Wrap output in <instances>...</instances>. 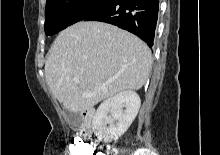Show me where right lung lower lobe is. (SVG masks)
I'll use <instances>...</instances> for the list:
<instances>
[{"label":"right lung lower lobe","instance_id":"obj_1","mask_svg":"<svg viewBox=\"0 0 220 155\" xmlns=\"http://www.w3.org/2000/svg\"><path fill=\"white\" fill-rule=\"evenodd\" d=\"M158 0H114L85 21H102L116 25L153 45L158 17Z\"/></svg>","mask_w":220,"mask_h":155}]
</instances>
